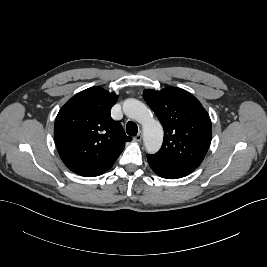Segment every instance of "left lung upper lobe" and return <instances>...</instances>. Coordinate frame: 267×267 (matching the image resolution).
I'll list each match as a JSON object with an SVG mask.
<instances>
[{"label":"left lung upper lobe","mask_w":267,"mask_h":267,"mask_svg":"<svg viewBox=\"0 0 267 267\" xmlns=\"http://www.w3.org/2000/svg\"><path fill=\"white\" fill-rule=\"evenodd\" d=\"M143 97L164 128L161 149L147 157L164 164L197 168L212 136L211 120L201 103L176 87L144 90Z\"/></svg>","instance_id":"obj_1"}]
</instances>
